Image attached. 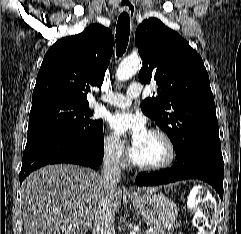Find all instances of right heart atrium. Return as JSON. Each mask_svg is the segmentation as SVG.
Wrapping results in <instances>:
<instances>
[{"label": "right heart atrium", "mask_w": 241, "mask_h": 234, "mask_svg": "<svg viewBox=\"0 0 241 234\" xmlns=\"http://www.w3.org/2000/svg\"><path fill=\"white\" fill-rule=\"evenodd\" d=\"M102 148L104 156L108 160L114 163L123 162L126 155V149L115 136L112 134H106L103 138Z\"/></svg>", "instance_id": "1"}]
</instances>
